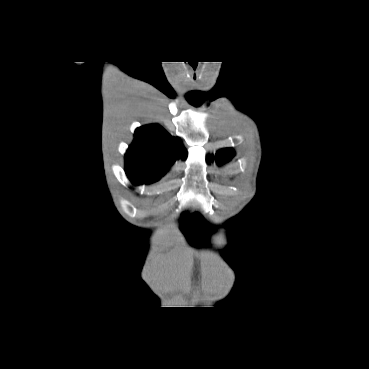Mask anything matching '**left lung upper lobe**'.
<instances>
[{"mask_svg": "<svg viewBox=\"0 0 369 369\" xmlns=\"http://www.w3.org/2000/svg\"><path fill=\"white\" fill-rule=\"evenodd\" d=\"M234 156V151L231 148L221 149L216 153L215 160L218 164L229 161ZM210 157H208V160ZM213 160V156L211 157Z\"/></svg>", "mask_w": 369, "mask_h": 369, "instance_id": "1", "label": "left lung upper lobe"}]
</instances>
